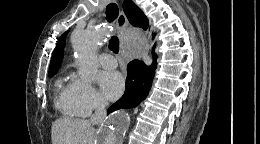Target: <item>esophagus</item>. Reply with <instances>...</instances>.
<instances>
[{"label": "esophagus", "mask_w": 260, "mask_h": 144, "mask_svg": "<svg viewBox=\"0 0 260 144\" xmlns=\"http://www.w3.org/2000/svg\"><path fill=\"white\" fill-rule=\"evenodd\" d=\"M117 28L118 35L122 38L128 29V20L123 12H120L117 18Z\"/></svg>", "instance_id": "1"}]
</instances>
